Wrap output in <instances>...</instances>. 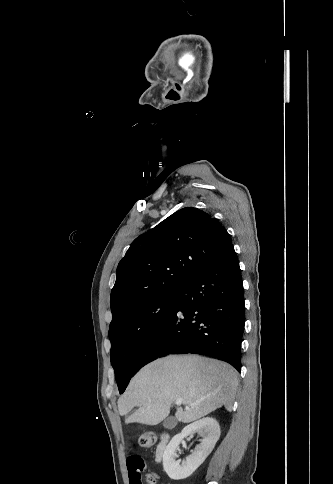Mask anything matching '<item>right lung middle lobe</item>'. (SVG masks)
Returning a JSON list of instances; mask_svg holds the SVG:
<instances>
[{"label":"right lung middle lobe","mask_w":333,"mask_h":484,"mask_svg":"<svg viewBox=\"0 0 333 484\" xmlns=\"http://www.w3.org/2000/svg\"><path fill=\"white\" fill-rule=\"evenodd\" d=\"M179 291L155 296L110 324L111 363L120 393L126 389L141 349L174 308Z\"/></svg>","instance_id":"1"}]
</instances>
